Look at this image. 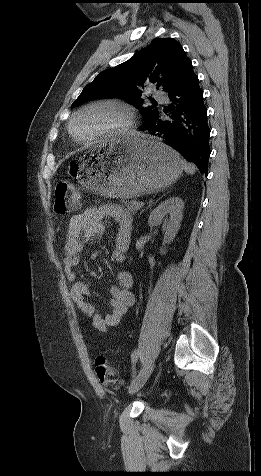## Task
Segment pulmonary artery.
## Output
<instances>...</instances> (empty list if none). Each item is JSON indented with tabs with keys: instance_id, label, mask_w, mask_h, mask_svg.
<instances>
[{
	"instance_id": "obj_1",
	"label": "pulmonary artery",
	"mask_w": 261,
	"mask_h": 476,
	"mask_svg": "<svg viewBox=\"0 0 261 476\" xmlns=\"http://www.w3.org/2000/svg\"><path fill=\"white\" fill-rule=\"evenodd\" d=\"M154 97L157 101H159L161 103H166L167 102V98L163 95V93H161L159 91H156L154 93Z\"/></svg>"
}]
</instances>
